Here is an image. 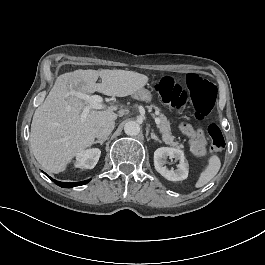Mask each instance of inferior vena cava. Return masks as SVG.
<instances>
[{"instance_id": "obj_1", "label": "inferior vena cava", "mask_w": 265, "mask_h": 265, "mask_svg": "<svg viewBox=\"0 0 265 265\" xmlns=\"http://www.w3.org/2000/svg\"><path fill=\"white\" fill-rule=\"evenodd\" d=\"M115 122L104 120L97 124L95 127V137L98 139H106L114 129Z\"/></svg>"}]
</instances>
